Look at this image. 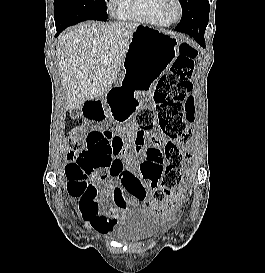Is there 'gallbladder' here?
Listing matches in <instances>:
<instances>
[{
    "label": "gallbladder",
    "instance_id": "obj_1",
    "mask_svg": "<svg viewBox=\"0 0 265 273\" xmlns=\"http://www.w3.org/2000/svg\"><path fill=\"white\" fill-rule=\"evenodd\" d=\"M73 117L77 116V111L70 112Z\"/></svg>",
    "mask_w": 265,
    "mask_h": 273
}]
</instances>
